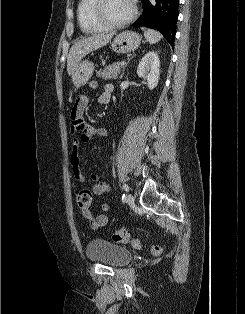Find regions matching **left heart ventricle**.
I'll return each mask as SVG.
<instances>
[{
	"mask_svg": "<svg viewBox=\"0 0 245 314\" xmlns=\"http://www.w3.org/2000/svg\"><path fill=\"white\" fill-rule=\"evenodd\" d=\"M131 12V0H104L102 13L109 22H121L128 18Z\"/></svg>",
	"mask_w": 245,
	"mask_h": 314,
	"instance_id": "1",
	"label": "left heart ventricle"
}]
</instances>
